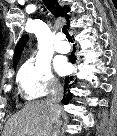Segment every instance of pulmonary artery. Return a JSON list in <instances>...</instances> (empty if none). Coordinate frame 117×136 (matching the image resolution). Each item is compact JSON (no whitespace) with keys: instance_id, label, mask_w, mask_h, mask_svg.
<instances>
[{"instance_id":"e3ab8cb5","label":"pulmonary artery","mask_w":117,"mask_h":136,"mask_svg":"<svg viewBox=\"0 0 117 136\" xmlns=\"http://www.w3.org/2000/svg\"><path fill=\"white\" fill-rule=\"evenodd\" d=\"M54 48L59 53H67L70 50V46L66 41L61 39H57L54 44Z\"/></svg>"}]
</instances>
